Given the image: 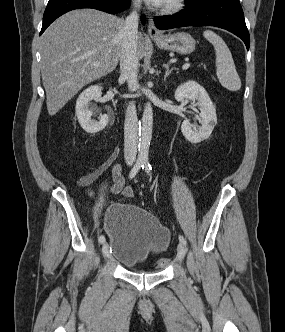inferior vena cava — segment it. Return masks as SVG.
<instances>
[{
    "instance_id": "1",
    "label": "inferior vena cava",
    "mask_w": 285,
    "mask_h": 332,
    "mask_svg": "<svg viewBox=\"0 0 285 332\" xmlns=\"http://www.w3.org/2000/svg\"><path fill=\"white\" fill-rule=\"evenodd\" d=\"M140 0H134V9L124 22L123 42L120 55V69L122 80H126L130 91L138 87L137 70V35L139 23ZM138 119L134 102L127 108L124 123V157L128 164H132L137 155Z\"/></svg>"
}]
</instances>
